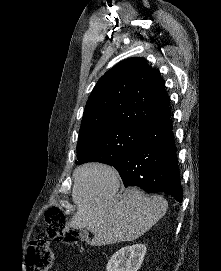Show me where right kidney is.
Listing matches in <instances>:
<instances>
[{
    "label": "right kidney",
    "mask_w": 221,
    "mask_h": 271,
    "mask_svg": "<svg viewBox=\"0 0 221 271\" xmlns=\"http://www.w3.org/2000/svg\"><path fill=\"white\" fill-rule=\"evenodd\" d=\"M147 251L144 243H133L117 249L110 257L106 271H137Z\"/></svg>",
    "instance_id": "ca27d5eb"
}]
</instances>
